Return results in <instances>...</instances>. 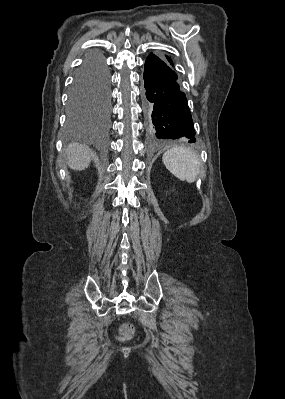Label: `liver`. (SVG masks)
I'll return each mask as SVG.
<instances>
[{
  "label": "liver",
  "mask_w": 285,
  "mask_h": 399,
  "mask_svg": "<svg viewBox=\"0 0 285 399\" xmlns=\"http://www.w3.org/2000/svg\"><path fill=\"white\" fill-rule=\"evenodd\" d=\"M65 157L71 169L81 171L90 165L94 153L85 145L72 143L68 146Z\"/></svg>",
  "instance_id": "obj_1"
}]
</instances>
